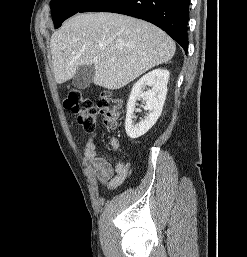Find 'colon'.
I'll list each match as a JSON object with an SVG mask.
<instances>
[{"instance_id": "5ec220e1", "label": "colon", "mask_w": 247, "mask_h": 257, "mask_svg": "<svg viewBox=\"0 0 247 257\" xmlns=\"http://www.w3.org/2000/svg\"><path fill=\"white\" fill-rule=\"evenodd\" d=\"M64 106L76 115L78 123L87 131L94 129L98 113L108 127L115 126L121 114L120 101L110 91L100 94L95 107L91 99L71 88L67 92Z\"/></svg>"}]
</instances>
